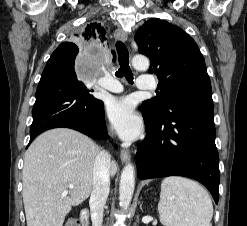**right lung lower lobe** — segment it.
Listing matches in <instances>:
<instances>
[{
  "label": "right lung lower lobe",
  "instance_id": "right-lung-lower-lobe-1",
  "mask_svg": "<svg viewBox=\"0 0 247 226\" xmlns=\"http://www.w3.org/2000/svg\"><path fill=\"white\" fill-rule=\"evenodd\" d=\"M74 61L64 51H54L48 60L36 91L29 144L42 132L58 127L96 139L107 137L104 104L78 81Z\"/></svg>",
  "mask_w": 247,
  "mask_h": 226
}]
</instances>
